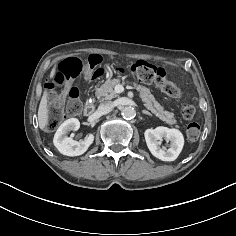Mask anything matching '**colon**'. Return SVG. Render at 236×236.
I'll list each match as a JSON object with an SVG mask.
<instances>
[{
	"mask_svg": "<svg viewBox=\"0 0 236 236\" xmlns=\"http://www.w3.org/2000/svg\"><path fill=\"white\" fill-rule=\"evenodd\" d=\"M100 60L96 56H90L86 60L79 58H67L61 62L53 78L47 83L50 90L61 87L64 83L74 81L81 74L90 79H97L103 75L104 70L99 67ZM92 70H94L92 72ZM120 72L128 71L136 80L153 84L161 89L169 97L178 99L181 97V90L173 84L167 75L165 69L157 67L145 60H138L132 63L128 68H119ZM68 100L63 104L60 96L52 94L50 109L46 120V129L54 130L64 120L65 115H79L82 111V103L79 100V90L77 87H70L67 90ZM182 117L185 119L193 118L195 108L192 105H185L181 109ZM187 137L190 140H196L200 135V126L197 123H190L186 129Z\"/></svg>",
	"mask_w": 236,
	"mask_h": 236,
	"instance_id": "5ec220e1",
	"label": "colon"
}]
</instances>
